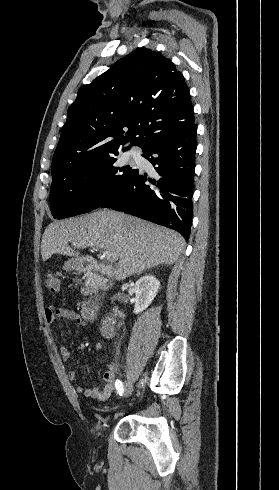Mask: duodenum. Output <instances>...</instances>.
<instances>
[{
    "label": "duodenum",
    "mask_w": 279,
    "mask_h": 490,
    "mask_svg": "<svg viewBox=\"0 0 279 490\" xmlns=\"http://www.w3.org/2000/svg\"><path fill=\"white\" fill-rule=\"evenodd\" d=\"M82 268L87 271H96L106 276H113V268L106 263L98 262L95 260H87L82 263ZM97 314V304L94 300L88 299L82 306V316L86 320H92Z\"/></svg>",
    "instance_id": "duodenum-1"
}]
</instances>
